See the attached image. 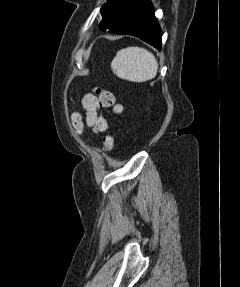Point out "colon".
I'll use <instances>...</instances> for the list:
<instances>
[{"instance_id": "1", "label": "colon", "mask_w": 240, "mask_h": 287, "mask_svg": "<svg viewBox=\"0 0 240 287\" xmlns=\"http://www.w3.org/2000/svg\"><path fill=\"white\" fill-rule=\"evenodd\" d=\"M94 95L98 98L101 106L111 108L115 115H120L123 112V105L116 101L115 95L104 88L96 87L94 89ZM73 125L78 130L81 131L82 123L79 115L74 114L72 117ZM114 139L110 132H107L103 138V149L109 152L113 149Z\"/></svg>"}]
</instances>
